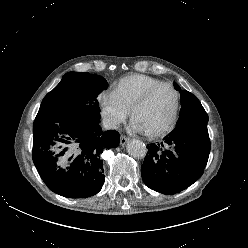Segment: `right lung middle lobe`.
Masks as SVG:
<instances>
[{
  "instance_id": "obj_1",
  "label": "right lung middle lobe",
  "mask_w": 248,
  "mask_h": 248,
  "mask_svg": "<svg viewBox=\"0 0 248 248\" xmlns=\"http://www.w3.org/2000/svg\"><path fill=\"white\" fill-rule=\"evenodd\" d=\"M107 88L99 75L68 72L43 99L34 123L66 122L78 119L100 120L97 96Z\"/></svg>"
}]
</instances>
